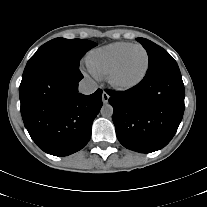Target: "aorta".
Listing matches in <instances>:
<instances>
[{
	"instance_id": "obj_1",
	"label": "aorta",
	"mask_w": 207,
	"mask_h": 207,
	"mask_svg": "<svg viewBox=\"0 0 207 207\" xmlns=\"http://www.w3.org/2000/svg\"><path fill=\"white\" fill-rule=\"evenodd\" d=\"M113 112H114L113 107L108 103L104 104L100 110L101 115L103 117H108V118L113 115Z\"/></svg>"
}]
</instances>
